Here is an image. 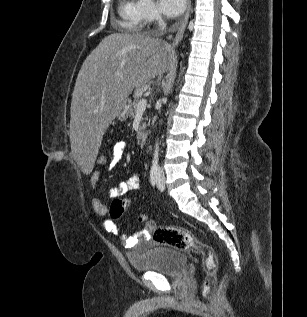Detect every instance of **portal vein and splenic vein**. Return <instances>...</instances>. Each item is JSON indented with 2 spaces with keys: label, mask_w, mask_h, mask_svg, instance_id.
<instances>
[{
  "label": "portal vein and splenic vein",
  "mask_w": 307,
  "mask_h": 317,
  "mask_svg": "<svg viewBox=\"0 0 307 317\" xmlns=\"http://www.w3.org/2000/svg\"><path fill=\"white\" fill-rule=\"evenodd\" d=\"M147 100L141 99L137 105V112H143L146 109Z\"/></svg>",
  "instance_id": "obj_1"
}]
</instances>
